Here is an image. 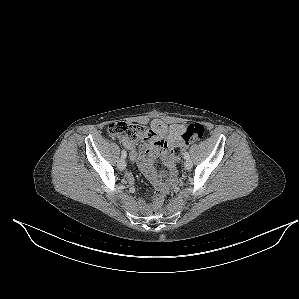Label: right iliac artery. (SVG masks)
<instances>
[{
	"label": "right iliac artery",
	"mask_w": 299,
	"mask_h": 299,
	"mask_svg": "<svg viewBox=\"0 0 299 299\" xmlns=\"http://www.w3.org/2000/svg\"><path fill=\"white\" fill-rule=\"evenodd\" d=\"M126 156H127L126 151H125V150H122V152H121V157H122V158H126Z\"/></svg>",
	"instance_id": "obj_1"
}]
</instances>
